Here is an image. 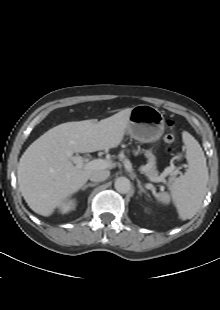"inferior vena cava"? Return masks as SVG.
<instances>
[{"mask_svg": "<svg viewBox=\"0 0 220 310\" xmlns=\"http://www.w3.org/2000/svg\"><path fill=\"white\" fill-rule=\"evenodd\" d=\"M110 175V172L108 170H99V171H94L89 179L93 182H102L105 181Z\"/></svg>", "mask_w": 220, "mask_h": 310, "instance_id": "obj_1", "label": "inferior vena cava"}]
</instances>
